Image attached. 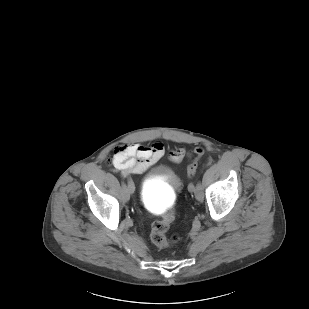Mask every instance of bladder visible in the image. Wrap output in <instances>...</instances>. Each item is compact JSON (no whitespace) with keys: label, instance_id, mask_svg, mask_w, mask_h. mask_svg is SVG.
<instances>
[{"label":"bladder","instance_id":"bladder-1","mask_svg":"<svg viewBox=\"0 0 309 309\" xmlns=\"http://www.w3.org/2000/svg\"><path fill=\"white\" fill-rule=\"evenodd\" d=\"M180 178L175 171L164 164L152 165L141 184L140 197L148 209L169 210V202Z\"/></svg>","mask_w":309,"mask_h":309}]
</instances>
